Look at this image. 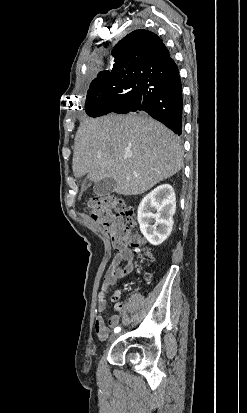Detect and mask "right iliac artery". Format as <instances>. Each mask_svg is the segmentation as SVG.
Wrapping results in <instances>:
<instances>
[{
  "label": "right iliac artery",
  "mask_w": 247,
  "mask_h": 413,
  "mask_svg": "<svg viewBox=\"0 0 247 413\" xmlns=\"http://www.w3.org/2000/svg\"><path fill=\"white\" fill-rule=\"evenodd\" d=\"M121 331V328L120 327H116L115 329H114V332L115 333H118V332H120Z\"/></svg>",
  "instance_id": "82829eb1"
}]
</instances>
